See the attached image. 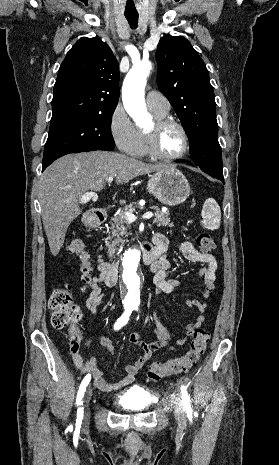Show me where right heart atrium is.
I'll return each instance as SVG.
<instances>
[{"instance_id":"d8ad5b80","label":"right heart atrium","mask_w":279,"mask_h":465,"mask_svg":"<svg viewBox=\"0 0 279 465\" xmlns=\"http://www.w3.org/2000/svg\"><path fill=\"white\" fill-rule=\"evenodd\" d=\"M108 128L116 147L124 153L130 154L136 140V128L121 104L112 110Z\"/></svg>"}]
</instances>
